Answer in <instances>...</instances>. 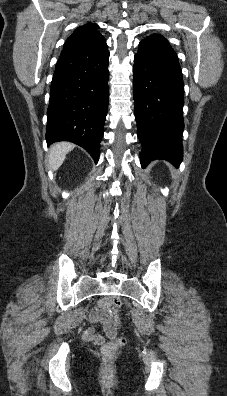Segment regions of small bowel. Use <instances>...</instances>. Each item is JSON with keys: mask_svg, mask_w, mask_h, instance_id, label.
I'll return each instance as SVG.
<instances>
[{"mask_svg": "<svg viewBox=\"0 0 227 396\" xmlns=\"http://www.w3.org/2000/svg\"><path fill=\"white\" fill-rule=\"evenodd\" d=\"M110 305L109 298H102L99 301L98 307L94 308L90 313L91 321L94 324H99L103 327L104 333L96 331L95 327H89L83 331V338L85 341L94 342L98 345L105 340V335L113 338L117 333L118 322L116 319L110 317L108 314V307Z\"/></svg>", "mask_w": 227, "mask_h": 396, "instance_id": "obj_1", "label": "small bowel"}]
</instances>
